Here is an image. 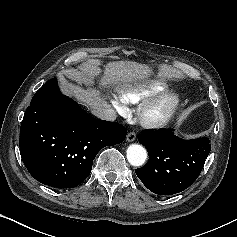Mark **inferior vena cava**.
<instances>
[{
  "label": "inferior vena cava",
  "mask_w": 237,
  "mask_h": 237,
  "mask_svg": "<svg viewBox=\"0 0 237 237\" xmlns=\"http://www.w3.org/2000/svg\"><path fill=\"white\" fill-rule=\"evenodd\" d=\"M92 113L96 117L106 121H114L117 117L115 110L108 106L95 108L92 110Z\"/></svg>",
  "instance_id": "inferior-vena-cava-1"
}]
</instances>
